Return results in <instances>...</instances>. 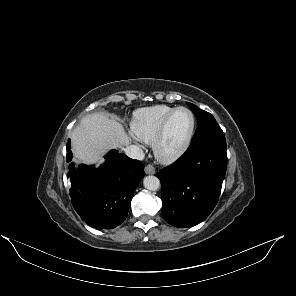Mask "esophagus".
Returning a JSON list of instances; mask_svg holds the SVG:
<instances>
[{
	"label": "esophagus",
	"instance_id": "1",
	"mask_svg": "<svg viewBox=\"0 0 296 296\" xmlns=\"http://www.w3.org/2000/svg\"><path fill=\"white\" fill-rule=\"evenodd\" d=\"M144 171L146 174H149V175H152V174H155V168L153 165L149 164L147 165L145 168H144Z\"/></svg>",
	"mask_w": 296,
	"mask_h": 296
}]
</instances>
